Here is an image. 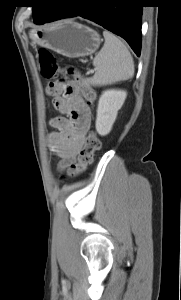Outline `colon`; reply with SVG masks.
I'll return each instance as SVG.
<instances>
[{
	"instance_id": "colon-1",
	"label": "colon",
	"mask_w": 181,
	"mask_h": 300,
	"mask_svg": "<svg viewBox=\"0 0 181 300\" xmlns=\"http://www.w3.org/2000/svg\"><path fill=\"white\" fill-rule=\"evenodd\" d=\"M38 56L41 74L48 80L46 86V94L48 96H57L62 93H76L84 97L89 104L95 101V91L85 82L78 70L74 68L68 69V73L74 78L73 82H68L63 76V70L60 67L57 57L53 53L41 49ZM100 145V140L96 133L92 132L88 134L77 160L67 166L66 175L74 177L83 173L92 163L94 154L99 150Z\"/></svg>"
}]
</instances>
